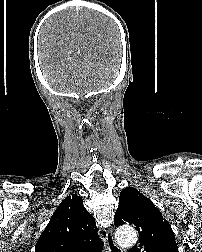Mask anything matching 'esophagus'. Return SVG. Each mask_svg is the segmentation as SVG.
Segmentation results:
<instances>
[{"label":"esophagus","mask_w":202,"mask_h":252,"mask_svg":"<svg viewBox=\"0 0 202 252\" xmlns=\"http://www.w3.org/2000/svg\"><path fill=\"white\" fill-rule=\"evenodd\" d=\"M106 245L108 252H122L120 246L116 243L113 236V230L109 229L106 235Z\"/></svg>","instance_id":"obj_1"}]
</instances>
